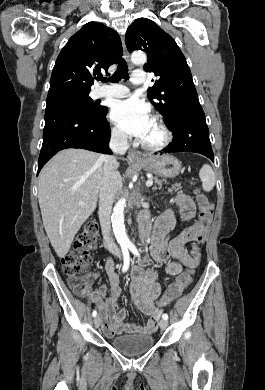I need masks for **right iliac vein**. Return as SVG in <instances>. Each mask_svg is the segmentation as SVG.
I'll return each instance as SVG.
<instances>
[{
	"label": "right iliac vein",
	"instance_id": "right-iliac-vein-1",
	"mask_svg": "<svg viewBox=\"0 0 265 390\" xmlns=\"http://www.w3.org/2000/svg\"><path fill=\"white\" fill-rule=\"evenodd\" d=\"M94 325H95V327H99V325H100V317L99 316H95Z\"/></svg>",
	"mask_w": 265,
	"mask_h": 390
}]
</instances>
